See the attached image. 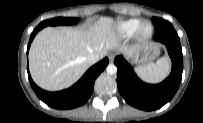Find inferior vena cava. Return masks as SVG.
<instances>
[{
	"label": "inferior vena cava",
	"mask_w": 203,
	"mask_h": 123,
	"mask_svg": "<svg viewBox=\"0 0 203 123\" xmlns=\"http://www.w3.org/2000/svg\"><path fill=\"white\" fill-rule=\"evenodd\" d=\"M99 59V56L97 54H90L87 56V61L90 63V64H94L98 61Z\"/></svg>",
	"instance_id": "602c4592"
}]
</instances>
